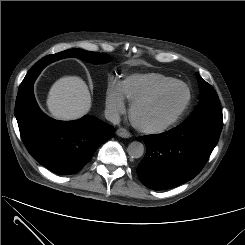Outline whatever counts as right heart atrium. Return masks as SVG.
<instances>
[{
	"mask_svg": "<svg viewBox=\"0 0 245 245\" xmlns=\"http://www.w3.org/2000/svg\"><path fill=\"white\" fill-rule=\"evenodd\" d=\"M105 106L111 119H117L126 111L125 97L121 91L120 83L109 82L105 89Z\"/></svg>",
	"mask_w": 245,
	"mask_h": 245,
	"instance_id": "d8ad5b80",
	"label": "right heart atrium"
}]
</instances>
